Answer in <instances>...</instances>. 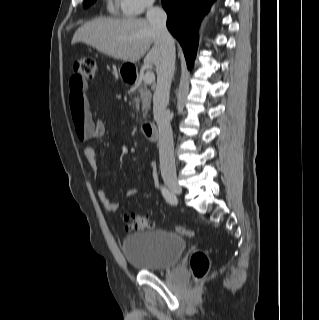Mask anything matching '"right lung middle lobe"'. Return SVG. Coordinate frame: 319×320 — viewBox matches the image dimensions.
Returning <instances> with one entry per match:
<instances>
[{"label":"right lung middle lobe","mask_w":319,"mask_h":320,"mask_svg":"<svg viewBox=\"0 0 319 320\" xmlns=\"http://www.w3.org/2000/svg\"><path fill=\"white\" fill-rule=\"evenodd\" d=\"M95 0H86L85 2H84V8H87V7H89L93 2H94Z\"/></svg>","instance_id":"right-lung-middle-lobe-1"}]
</instances>
